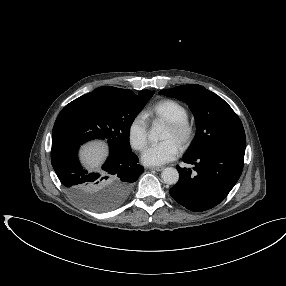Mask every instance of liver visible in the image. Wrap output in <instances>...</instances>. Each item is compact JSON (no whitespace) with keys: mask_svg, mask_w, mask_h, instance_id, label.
<instances>
[{"mask_svg":"<svg viewBox=\"0 0 286 286\" xmlns=\"http://www.w3.org/2000/svg\"><path fill=\"white\" fill-rule=\"evenodd\" d=\"M106 146L100 142L90 143L83 147L81 151V159L83 163L90 169H97L106 157Z\"/></svg>","mask_w":286,"mask_h":286,"instance_id":"6515ba94","label":"liver"}]
</instances>
